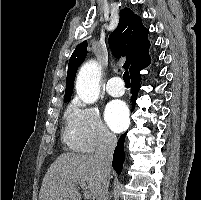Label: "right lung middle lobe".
<instances>
[{"label": "right lung middle lobe", "instance_id": "obj_1", "mask_svg": "<svg viewBox=\"0 0 201 200\" xmlns=\"http://www.w3.org/2000/svg\"><path fill=\"white\" fill-rule=\"evenodd\" d=\"M65 102H69L70 101V99H68V100H64Z\"/></svg>", "mask_w": 201, "mask_h": 200}]
</instances>
